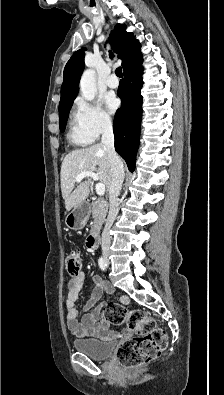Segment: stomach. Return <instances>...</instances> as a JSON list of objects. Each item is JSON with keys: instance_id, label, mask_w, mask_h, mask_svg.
Listing matches in <instances>:
<instances>
[{"instance_id": "0dacf381", "label": "stomach", "mask_w": 224, "mask_h": 395, "mask_svg": "<svg viewBox=\"0 0 224 395\" xmlns=\"http://www.w3.org/2000/svg\"><path fill=\"white\" fill-rule=\"evenodd\" d=\"M90 217L88 203L83 202L75 206L66 216L65 224L73 230H80L85 227Z\"/></svg>"}]
</instances>
